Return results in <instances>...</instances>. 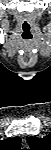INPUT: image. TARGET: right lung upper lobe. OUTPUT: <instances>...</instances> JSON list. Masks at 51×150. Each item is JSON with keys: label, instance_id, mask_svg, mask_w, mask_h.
I'll return each mask as SVG.
<instances>
[{"label": "right lung upper lobe", "instance_id": "right-lung-upper-lobe-1", "mask_svg": "<svg viewBox=\"0 0 51 150\" xmlns=\"http://www.w3.org/2000/svg\"><path fill=\"white\" fill-rule=\"evenodd\" d=\"M1 146L0 148L2 150H14V149H19L20 147V139L15 137V138H9L2 140L0 142Z\"/></svg>", "mask_w": 51, "mask_h": 150}]
</instances>
